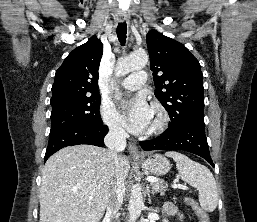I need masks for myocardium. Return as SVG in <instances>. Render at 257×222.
<instances>
[{"label": "myocardium", "mask_w": 257, "mask_h": 222, "mask_svg": "<svg viewBox=\"0 0 257 222\" xmlns=\"http://www.w3.org/2000/svg\"><path fill=\"white\" fill-rule=\"evenodd\" d=\"M155 119L149 128V134H159L165 130L169 122V115L165 107L159 102L153 103Z\"/></svg>", "instance_id": "1"}]
</instances>
